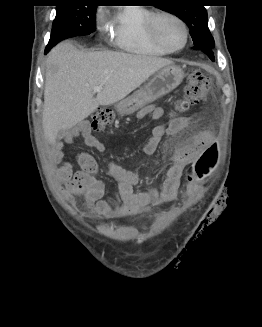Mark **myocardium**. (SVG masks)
Listing matches in <instances>:
<instances>
[{
  "label": "myocardium",
  "instance_id": "myocardium-1",
  "mask_svg": "<svg viewBox=\"0 0 262 327\" xmlns=\"http://www.w3.org/2000/svg\"><path fill=\"white\" fill-rule=\"evenodd\" d=\"M162 17H168V18L174 19L183 27L185 37H184V42L180 47L173 48V47L169 46L164 41V39L161 37V35L159 33V29H158V22ZM147 28H148V31H149L151 37L153 38V40L157 44H159L162 48L169 51L170 53L181 51L182 49H184L186 47V45L189 41L190 32H189V27H188L187 23L185 22V20L182 17H180L178 14L167 11V10H159V11L153 12L148 19Z\"/></svg>",
  "mask_w": 262,
  "mask_h": 327
}]
</instances>
